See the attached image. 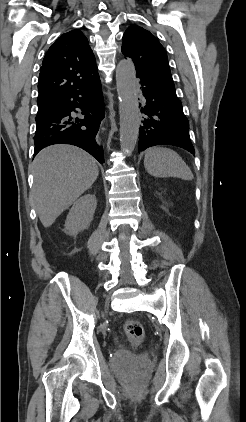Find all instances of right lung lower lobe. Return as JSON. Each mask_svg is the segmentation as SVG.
<instances>
[{
	"label": "right lung lower lobe",
	"instance_id": "98d812e1",
	"mask_svg": "<svg viewBox=\"0 0 246 422\" xmlns=\"http://www.w3.org/2000/svg\"><path fill=\"white\" fill-rule=\"evenodd\" d=\"M76 108L82 110V119L72 115ZM103 118L104 102L98 75L86 86L38 110L35 117L34 155L46 146L65 143L84 149L100 163H104L103 148L96 142Z\"/></svg>",
	"mask_w": 246,
	"mask_h": 422
}]
</instances>
